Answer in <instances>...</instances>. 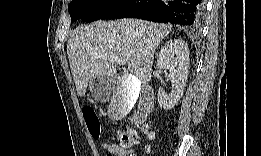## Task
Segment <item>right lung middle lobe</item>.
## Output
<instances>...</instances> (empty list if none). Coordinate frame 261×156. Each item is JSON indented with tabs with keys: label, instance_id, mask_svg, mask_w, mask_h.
Segmentation results:
<instances>
[{
	"label": "right lung middle lobe",
	"instance_id": "right-lung-middle-lobe-1",
	"mask_svg": "<svg viewBox=\"0 0 261 156\" xmlns=\"http://www.w3.org/2000/svg\"><path fill=\"white\" fill-rule=\"evenodd\" d=\"M118 0H72L68 6L71 21L91 22L101 19Z\"/></svg>",
	"mask_w": 261,
	"mask_h": 156
}]
</instances>
